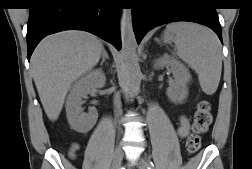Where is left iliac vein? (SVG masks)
Listing matches in <instances>:
<instances>
[{
    "label": "left iliac vein",
    "instance_id": "obj_1",
    "mask_svg": "<svg viewBox=\"0 0 252 169\" xmlns=\"http://www.w3.org/2000/svg\"><path fill=\"white\" fill-rule=\"evenodd\" d=\"M136 165H137L138 169H148L146 161L143 158H138L136 160Z\"/></svg>",
    "mask_w": 252,
    "mask_h": 169
}]
</instances>
